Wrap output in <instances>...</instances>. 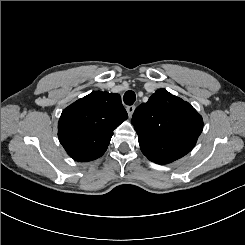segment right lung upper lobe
Here are the masks:
<instances>
[{
    "mask_svg": "<svg viewBox=\"0 0 245 245\" xmlns=\"http://www.w3.org/2000/svg\"><path fill=\"white\" fill-rule=\"evenodd\" d=\"M127 118L119 94L93 91L63 110L59 141L74 160H95L106 151L113 130Z\"/></svg>",
    "mask_w": 245,
    "mask_h": 245,
    "instance_id": "1",
    "label": "right lung upper lobe"
}]
</instances>
